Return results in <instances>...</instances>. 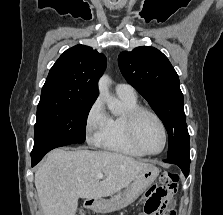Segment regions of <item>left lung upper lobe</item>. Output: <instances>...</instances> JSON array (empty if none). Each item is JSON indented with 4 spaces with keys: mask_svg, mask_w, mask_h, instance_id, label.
Wrapping results in <instances>:
<instances>
[{
    "mask_svg": "<svg viewBox=\"0 0 223 215\" xmlns=\"http://www.w3.org/2000/svg\"><path fill=\"white\" fill-rule=\"evenodd\" d=\"M120 70L162 120L168 135L167 158L190 160L189 134L179 77L158 49L141 46L118 57Z\"/></svg>",
    "mask_w": 223,
    "mask_h": 215,
    "instance_id": "obj_1",
    "label": "left lung upper lobe"
}]
</instances>
